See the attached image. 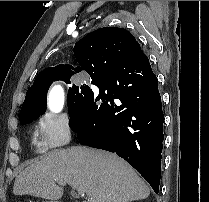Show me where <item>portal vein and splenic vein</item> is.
Returning <instances> with one entry per match:
<instances>
[{"label": "portal vein and splenic vein", "mask_w": 209, "mask_h": 202, "mask_svg": "<svg viewBox=\"0 0 209 202\" xmlns=\"http://www.w3.org/2000/svg\"><path fill=\"white\" fill-rule=\"evenodd\" d=\"M55 182L58 183V184H60V185H66V182L63 181V180L56 179ZM77 192H78L79 195H83V194L85 193V192H84L83 190H81V189H78Z\"/></svg>", "instance_id": "obj_1"}]
</instances>
